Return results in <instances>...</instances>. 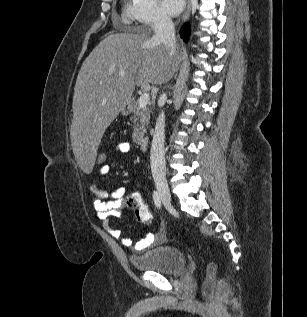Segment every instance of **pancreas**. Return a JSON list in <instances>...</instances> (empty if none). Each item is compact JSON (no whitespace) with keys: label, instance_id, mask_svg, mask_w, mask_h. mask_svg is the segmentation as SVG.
<instances>
[{"label":"pancreas","instance_id":"1","mask_svg":"<svg viewBox=\"0 0 307 317\" xmlns=\"http://www.w3.org/2000/svg\"><path fill=\"white\" fill-rule=\"evenodd\" d=\"M133 122L132 139L136 144H141L147 131L150 121V109L148 107L134 106L133 115L130 117Z\"/></svg>","mask_w":307,"mask_h":317}]
</instances>
